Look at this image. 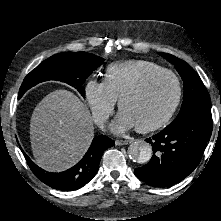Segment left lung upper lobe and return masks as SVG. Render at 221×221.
I'll return each mask as SVG.
<instances>
[{
    "label": "left lung upper lobe",
    "mask_w": 221,
    "mask_h": 221,
    "mask_svg": "<svg viewBox=\"0 0 221 221\" xmlns=\"http://www.w3.org/2000/svg\"><path fill=\"white\" fill-rule=\"evenodd\" d=\"M159 54L175 65L184 82V96L180 112L167 127L177 125L189 116L212 117L210 96L195 70L188 63L171 54Z\"/></svg>",
    "instance_id": "5c2ea615"
}]
</instances>
